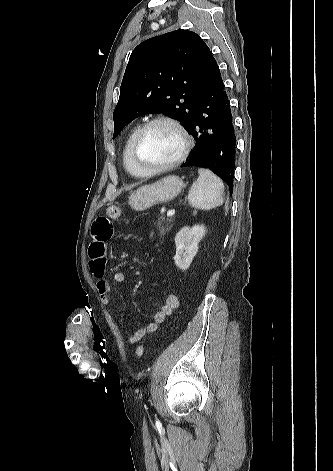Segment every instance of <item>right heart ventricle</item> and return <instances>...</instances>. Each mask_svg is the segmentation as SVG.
<instances>
[{
	"mask_svg": "<svg viewBox=\"0 0 333 471\" xmlns=\"http://www.w3.org/2000/svg\"><path fill=\"white\" fill-rule=\"evenodd\" d=\"M140 125H135L133 126L127 133L123 150H122V162L124 169L128 174H130L133 177H143L146 176L144 175L137 167L135 166L133 159H132V144L135 138V135L137 134Z\"/></svg>",
	"mask_w": 333,
	"mask_h": 471,
	"instance_id": "e07e8e85",
	"label": "right heart ventricle"
}]
</instances>
